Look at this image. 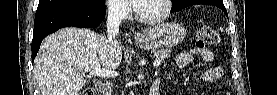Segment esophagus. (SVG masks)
Segmentation results:
<instances>
[{"label": "esophagus", "mask_w": 277, "mask_h": 95, "mask_svg": "<svg viewBox=\"0 0 277 95\" xmlns=\"http://www.w3.org/2000/svg\"><path fill=\"white\" fill-rule=\"evenodd\" d=\"M142 35H143V34H142L140 31H136V32L134 33V37H135V38H141Z\"/></svg>", "instance_id": "1"}]
</instances>
